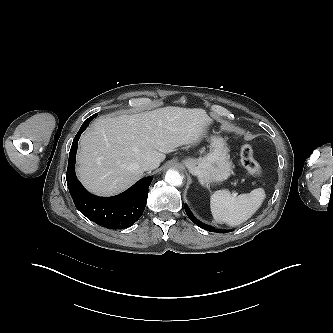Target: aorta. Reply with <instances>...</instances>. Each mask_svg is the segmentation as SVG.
<instances>
[{
    "instance_id": "1",
    "label": "aorta",
    "mask_w": 333,
    "mask_h": 333,
    "mask_svg": "<svg viewBox=\"0 0 333 333\" xmlns=\"http://www.w3.org/2000/svg\"><path fill=\"white\" fill-rule=\"evenodd\" d=\"M165 181L172 186H180L183 181L182 175L173 169H169L165 175Z\"/></svg>"
}]
</instances>
